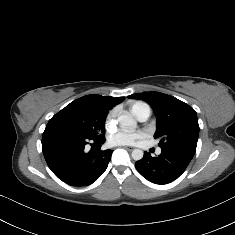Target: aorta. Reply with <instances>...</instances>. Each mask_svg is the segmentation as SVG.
Listing matches in <instances>:
<instances>
[{"label":"aorta","mask_w":235,"mask_h":235,"mask_svg":"<svg viewBox=\"0 0 235 235\" xmlns=\"http://www.w3.org/2000/svg\"><path fill=\"white\" fill-rule=\"evenodd\" d=\"M117 121L121 129H128V128L136 127V122L134 118L132 117V115L130 114L120 115L117 118ZM131 155L134 160L138 161L143 158L144 152L141 149H134Z\"/></svg>","instance_id":"1"}]
</instances>
